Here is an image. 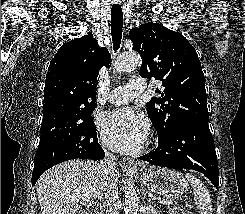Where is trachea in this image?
<instances>
[{"instance_id":"1","label":"trachea","mask_w":245,"mask_h":214,"mask_svg":"<svg viewBox=\"0 0 245 214\" xmlns=\"http://www.w3.org/2000/svg\"><path fill=\"white\" fill-rule=\"evenodd\" d=\"M123 29V12L118 4H114L111 9V35L113 49L116 52L120 48Z\"/></svg>"}]
</instances>
